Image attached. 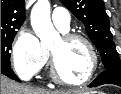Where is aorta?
<instances>
[{"mask_svg":"<svg viewBox=\"0 0 121 94\" xmlns=\"http://www.w3.org/2000/svg\"><path fill=\"white\" fill-rule=\"evenodd\" d=\"M31 25L35 34L40 38L41 47L49 48L59 38V33L53 27L50 19L49 0H38L31 11Z\"/></svg>","mask_w":121,"mask_h":94,"instance_id":"762f6f07","label":"aorta"}]
</instances>
